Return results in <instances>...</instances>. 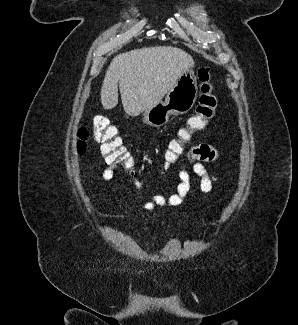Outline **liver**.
<instances>
[{
  "instance_id": "obj_1",
  "label": "liver",
  "mask_w": 298,
  "mask_h": 325,
  "mask_svg": "<svg viewBox=\"0 0 298 325\" xmlns=\"http://www.w3.org/2000/svg\"><path fill=\"white\" fill-rule=\"evenodd\" d=\"M194 64L193 56L178 46H144L116 54L103 78L101 104L105 110L114 108L119 88L125 112L138 116L161 102L177 78Z\"/></svg>"
}]
</instances>
